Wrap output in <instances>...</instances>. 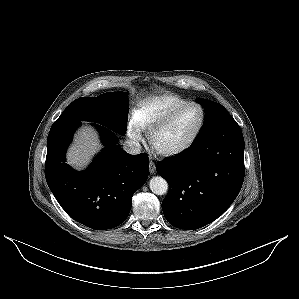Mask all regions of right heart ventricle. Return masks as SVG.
<instances>
[{
    "instance_id": "right-heart-ventricle-1",
    "label": "right heart ventricle",
    "mask_w": 299,
    "mask_h": 299,
    "mask_svg": "<svg viewBox=\"0 0 299 299\" xmlns=\"http://www.w3.org/2000/svg\"><path fill=\"white\" fill-rule=\"evenodd\" d=\"M188 102L189 100L173 93L155 95L139 103L134 118L144 129H150L173 110Z\"/></svg>"
}]
</instances>
